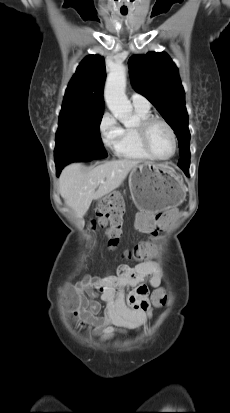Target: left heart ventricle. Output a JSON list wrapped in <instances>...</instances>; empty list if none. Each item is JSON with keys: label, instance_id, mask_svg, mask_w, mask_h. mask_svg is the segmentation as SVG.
I'll return each mask as SVG.
<instances>
[{"label": "left heart ventricle", "instance_id": "1", "mask_svg": "<svg viewBox=\"0 0 230 413\" xmlns=\"http://www.w3.org/2000/svg\"><path fill=\"white\" fill-rule=\"evenodd\" d=\"M148 141L152 151L160 156L167 157L173 150V142L169 130L161 123H154L148 132Z\"/></svg>", "mask_w": 230, "mask_h": 413}]
</instances>
